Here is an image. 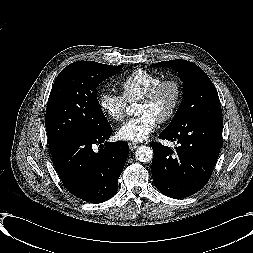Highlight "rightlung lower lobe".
I'll use <instances>...</instances> for the list:
<instances>
[{"mask_svg": "<svg viewBox=\"0 0 253 253\" xmlns=\"http://www.w3.org/2000/svg\"><path fill=\"white\" fill-rule=\"evenodd\" d=\"M111 134L110 124L97 131H80L50 150L62 183L84 201L102 203L118 191L129 146L125 141L107 142ZM95 144H100L99 152L93 151Z\"/></svg>", "mask_w": 253, "mask_h": 253, "instance_id": "right-lung-lower-lobe-1", "label": "right lung lower lobe"}]
</instances>
